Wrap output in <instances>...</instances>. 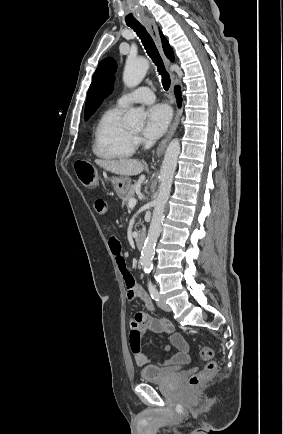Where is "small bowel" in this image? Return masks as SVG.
I'll use <instances>...</instances> for the list:
<instances>
[{
  "instance_id": "small-bowel-1",
  "label": "small bowel",
  "mask_w": 283,
  "mask_h": 434,
  "mask_svg": "<svg viewBox=\"0 0 283 434\" xmlns=\"http://www.w3.org/2000/svg\"><path fill=\"white\" fill-rule=\"evenodd\" d=\"M94 209L99 215H105L108 211V205L105 200L97 199L94 202ZM109 247L115 257L116 264L124 280L127 298L131 301L139 298L145 303V306L149 311H154V306L151 300L143 289L135 282L127 269L125 258L121 252L120 241L115 236L109 238ZM129 327L131 350L135 361L139 366H147L149 364L147 357L141 349V338L147 332L165 333L169 336L170 345H166V352L170 350V346L178 349V353L174 354L167 360L158 363V366H180L188 361V344L168 319L155 318L146 312H137L131 318Z\"/></svg>"
}]
</instances>
